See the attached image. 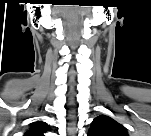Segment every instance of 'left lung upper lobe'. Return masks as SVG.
<instances>
[{"label": "left lung upper lobe", "mask_w": 151, "mask_h": 136, "mask_svg": "<svg viewBox=\"0 0 151 136\" xmlns=\"http://www.w3.org/2000/svg\"><path fill=\"white\" fill-rule=\"evenodd\" d=\"M88 136H128L126 128L106 115L96 117L89 129Z\"/></svg>", "instance_id": "obj_1"}]
</instances>
